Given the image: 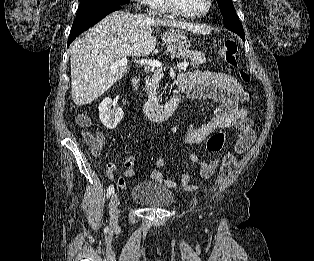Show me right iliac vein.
Here are the masks:
<instances>
[{"mask_svg": "<svg viewBox=\"0 0 314 261\" xmlns=\"http://www.w3.org/2000/svg\"><path fill=\"white\" fill-rule=\"evenodd\" d=\"M118 204L119 199L117 194H113L110 198L109 202V213H110V220L111 224H115L118 219Z\"/></svg>", "mask_w": 314, "mask_h": 261, "instance_id": "63e3f726", "label": "right iliac vein"}]
</instances>
